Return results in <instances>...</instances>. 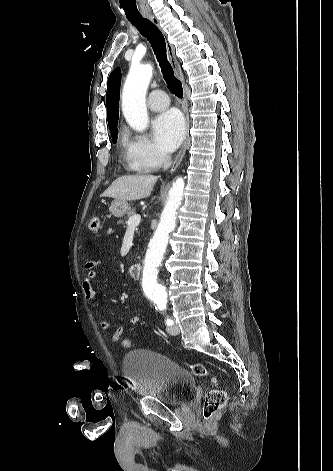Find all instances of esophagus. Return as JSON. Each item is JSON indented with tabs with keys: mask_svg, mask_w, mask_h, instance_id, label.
<instances>
[{
	"mask_svg": "<svg viewBox=\"0 0 333 471\" xmlns=\"http://www.w3.org/2000/svg\"><path fill=\"white\" fill-rule=\"evenodd\" d=\"M149 19L152 21V23L158 27V29L164 34L165 36V40H166V48H167V53H168V57H169V60L171 62V65L174 69V72L175 74L177 75V77L181 80L182 83H184V76H183V73L180 69V66L178 64V61H177V58L175 56V49H174V46L172 45V43L167 39L166 37V34L165 32L163 31V29L161 28L160 26V23L158 21V19L155 17V16H149ZM184 98H185V102H186V95L184 93ZM185 110H186V118H187V121H186V136H185V140L183 142V145L181 146L178 154L176 155L175 157V160L170 168V171L169 173H173L177 167L180 165L184 155H185V151H186V147H187V144H188V141H189V117H188V113H187V105H185Z\"/></svg>",
	"mask_w": 333,
	"mask_h": 471,
	"instance_id": "1",
	"label": "esophagus"
}]
</instances>
